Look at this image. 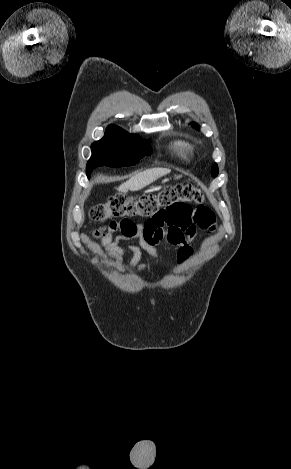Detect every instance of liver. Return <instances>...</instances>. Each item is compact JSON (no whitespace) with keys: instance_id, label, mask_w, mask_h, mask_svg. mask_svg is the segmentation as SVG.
I'll return each mask as SVG.
<instances>
[{"instance_id":"liver-1","label":"liver","mask_w":291,"mask_h":469,"mask_svg":"<svg viewBox=\"0 0 291 469\" xmlns=\"http://www.w3.org/2000/svg\"><path fill=\"white\" fill-rule=\"evenodd\" d=\"M171 172L170 169L167 168H153L136 174L135 176L131 177L128 181L121 184L117 190L119 192H127L130 191H138L145 186L151 184L158 178L167 175Z\"/></svg>"}]
</instances>
